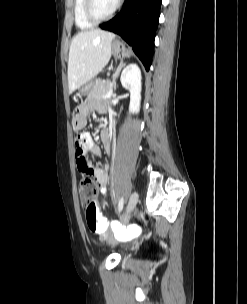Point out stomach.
Here are the masks:
<instances>
[{"mask_svg":"<svg viewBox=\"0 0 247 304\" xmlns=\"http://www.w3.org/2000/svg\"><path fill=\"white\" fill-rule=\"evenodd\" d=\"M112 53L116 59H123L129 56V50L120 42L116 41L112 45ZM82 94L87 92L86 87L80 91Z\"/></svg>","mask_w":247,"mask_h":304,"instance_id":"obj_1","label":"stomach"}]
</instances>
